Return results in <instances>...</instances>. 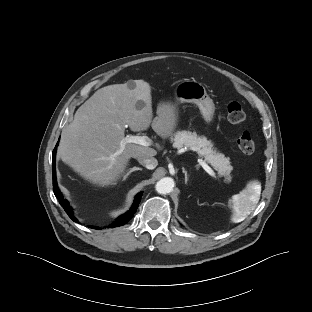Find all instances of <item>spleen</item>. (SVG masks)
I'll return each instance as SVG.
<instances>
[{"label": "spleen", "instance_id": "3e777b00", "mask_svg": "<svg viewBox=\"0 0 312 312\" xmlns=\"http://www.w3.org/2000/svg\"><path fill=\"white\" fill-rule=\"evenodd\" d=\"M261 186L253 183L252 186L234 203L232 222L238 223L243 221L256 207L260 199Z\"/></svg>", "mask_w": 312, "mask_h": 312}]
</instances>
